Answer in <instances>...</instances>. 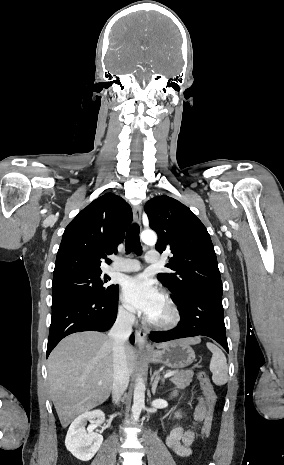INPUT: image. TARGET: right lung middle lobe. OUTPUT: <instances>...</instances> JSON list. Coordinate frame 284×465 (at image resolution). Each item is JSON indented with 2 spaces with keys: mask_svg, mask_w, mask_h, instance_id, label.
Returning a JSON list of instances; mask_svg holds the SVG:
<instances>
[{
  "mask_svg": "<svg viewBox=\"0 0 284 465\" xmlns=\"http://www.w3.org/2000/svg\"><path fill=\"white\" fill-rule=\"evenodd\" d=\"M110 279L102 273L75 274L53 280L52 304L75 295H106L117 288V285H106Z\"/></svg>",
  "mask_w": 284,
  "mask_h": 465,
  "instance_id": "1",
  "label": "right lung middle lobe"
}]
</instances>
